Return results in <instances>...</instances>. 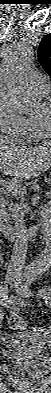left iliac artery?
Wrapping results in <instances>:
<instances>
[{"label": "left iliac artery", "mask_w": 51, "mask_h": 393, "mask_svg": "<svg viewBox=\"0 0 51 393\" xmlns=\"http://www.w3.org/2000/svg\"><path fill=\"white\" fill-rule=\"evenodd\" d=\"M37 277V274H27L23 281H22V286L21 289H23V293L25 296H29L31 294V290L29 289V286L33 281H35ZM39 295L43 296L45 299V303L47 304L48 307H51V288H45L43 290H39Z\"/></svg>", "instance_id": "obj_1"}]
</instances>
